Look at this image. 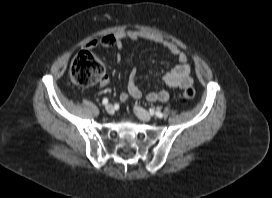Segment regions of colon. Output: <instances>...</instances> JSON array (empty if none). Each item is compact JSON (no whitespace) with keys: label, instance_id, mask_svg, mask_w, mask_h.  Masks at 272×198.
<instances>
[{"label":"colon","instance_id":"obj_1","mask_svg":"<svg viewBox=\"0 0 272 198\" xmlns=\"http://www.w3.org/2000/svg\"><path fill=\"white\" fill-rule=\"evenodd\" d=\"M104 66L89 50L80 51L73 59L69 71L71 81L77 86H90L100 81L104 76ZM192 88L184 90L182 97L186 101L194 98Z\"/></svg>","mask_w":272,"mask_h":198}]
</instances>
